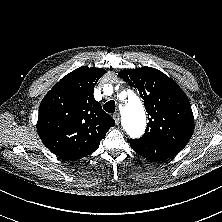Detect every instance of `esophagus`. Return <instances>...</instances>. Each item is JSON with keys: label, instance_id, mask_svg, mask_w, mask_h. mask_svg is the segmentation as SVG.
Masks as SVG:
<instances>
[{"label": "esophagus", "instance_id": "1", "mask_svg": "<svg viewBox=\"0 0 222 222\" xmlns=\"http://www.w3.org/2000/svg\"><path fill=\"white\" fill-rule=\"evenodd\" d=\"M113 118H114V120H115V123H116L117 125H119V123H120V114H119V113H115V114L113 115Z\"/></svg>", "mask_w": 222, "mask_h": 222}]
</instances>
